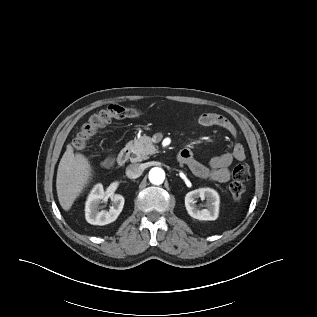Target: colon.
<instances>
[{"label":"colon","mask_w":317,"mask_h":317,"mask_svg":"<svg viewBox=\"0 0 317 317\" xmlns=\"http://www.w3.org/2000/svg\"><path fill=\"white\" fill-rule=\"evenodd\" d=\"M141 111L136 108L124 107L113 104L106 109L94 113L89 120L83 124L73 140V146L77 150L86 147L90 139L113 119L138 117ZM250 177V168L245 163L237 164L232 171V181L229 190L235 200H239L244 192V183Z\"/></svg>","instance_id":"5ec220e1"}]
</instances>
